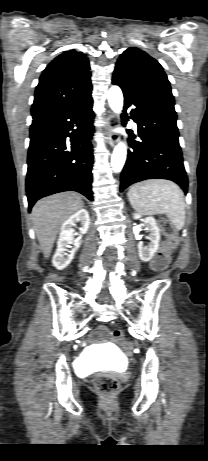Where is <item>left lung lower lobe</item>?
Returning a JSON list of instances; mask_svg holds the SVG:
<instances>
[{
    "label": "left lung lower lobe",
    "mask_w": 208,
    "mask_h": 461,
    "mask_svg": "<svg viewBox=\"0 0 208 461\" xmlns=\"http://www.w3.org/2000/svg\"><path fill=\"white\" fill-rule=\"evenodd\" d=\"M130 106H134L131 118L137 123L142 141H135V135L128 132L130 150L121 173L120 191L142 180L160 178L176 182L187 193L188 178L178 141L174 106L124 94V112Z\"/></svg>",
    "instance_id": "left-lung-lower-lobe-1"
}]
</instances>
